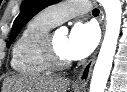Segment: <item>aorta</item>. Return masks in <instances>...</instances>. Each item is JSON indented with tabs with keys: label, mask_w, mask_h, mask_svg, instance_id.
Here are the masks:
<instances>
[{
	"label": "aorta",
	"mask_w": 127,
	"mask_h": 92,
	"mask_svg": "<svg viewBox=\"0 0 127 92\" xmlns=\"http://www.w3.org/2000/svg\"><path fill=\"white\" fill-rule=\"evenodd\" d=\"M106 13L104 40L93 70L89 92H104L115 55L121 27L120 0H99Z\"/></svg>",
	"instance_id": "obj_1"
}]
</instances>
